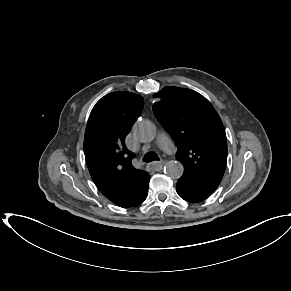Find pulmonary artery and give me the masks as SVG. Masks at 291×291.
Returning a JSON list of instances; mask_svg holds the SVG:
<instances>
[{
    "label": "pulmonary artery",
    "mask_w": 291,
    "mask_h": 291,
    "mask_svg": "<svg viewBox=\"0 0 291 291\" xmlns=\"http://www.w3.org/2000/svg\"><path fill=\"white\" fill-rule=\"evenodd\" d=\"M157 145L161 150H163L167 153H171L175 149L172 141L165 133H161L159 135V137L157 139Z\"/></svg>",
    "instance_id": "e3ab8cb5"
}]
</instances>
